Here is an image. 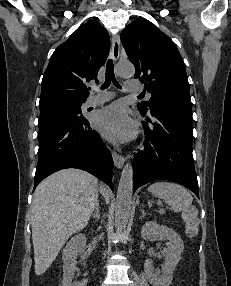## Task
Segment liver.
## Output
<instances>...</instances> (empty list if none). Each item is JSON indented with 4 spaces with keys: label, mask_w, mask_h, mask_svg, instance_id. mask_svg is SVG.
<instances>
[{
    "label": "liver",
    "mask_w": 231,
    "mask_h": 286,
    "mask_svg": "<svg viewBox=\"0 0 231 286\" xmlns=\"http://www.w3.org/2000/svg\"><path fill=\"white\" fill-rule=\"evenodd\" d=\"M98 190L109 202V189L78 169L60 170L38 185L31 206L36 275L45 273L68 238L87 226Z\"/></svg>",
    "instance_id": "obj_1"
}]
</instances>
